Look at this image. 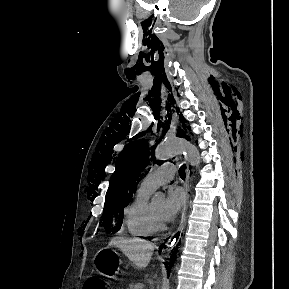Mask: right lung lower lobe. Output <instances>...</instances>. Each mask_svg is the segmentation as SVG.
I'll list each match as a JSON object with an SVG mask.
<instances>
[{"label": "right lung lower lobe", "instance_id": "98d812e1", "mask_svg": "<svg viewBox=\"0 0 289 289\" xmlns=\"http://www.w3.org/2000/svg\"><path fill=\"white\" fill-rule=\"evenodd\" d=\"M162 247H163V245H162ZM175 251H176V250H175ZM174 257H175V255H173V257L171 258L169 270H170L171 266L173 265V259H174Z\"/></svg>", "mask_w": 289, "mask_h": 289}]
</instances>
